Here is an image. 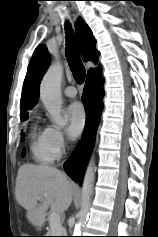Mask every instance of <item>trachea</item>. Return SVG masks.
Here are the masks:
<instances>
[{"label": "trachea", "instance_id": "3493384b", "mask_svg": "<svg viewBox=\"0 0 158 237\" xmlns=\"http://www.w3.org/2000/svg\"><path fill=\"white\" fill-rule=\"evenodd\" d=\"M67 30V47H66V57L73 73V77L78 84H81L85 80V68L80 59L79 53L75 47L72 39V33L70 25L66 26Z\"/></svg>", "mask_w": 158, "mask_h": 237}]
</instances>
